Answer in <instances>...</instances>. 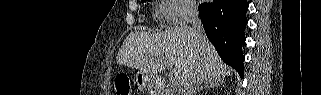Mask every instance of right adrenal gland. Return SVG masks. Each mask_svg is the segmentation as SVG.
<instances>
[{
  "label": "right adrenal gland",
  "instance_id": "1",
  "mask_svg": "<svg viewBox=\"0 0 321 95\" xmlns=\"http://www.w3.org/2000/svg\"><path fill=\"white\" fill-rule=\"evenodd\" d=\"M218 86H224V81L220 78L211 77L206 79L197 91H200L203 88H218Z\"/></svg>",
  "mask_w": 321,
  "mask_h": 95
}]
</instances>
